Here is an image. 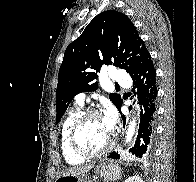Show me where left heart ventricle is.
<instances>
[{
    "mask_svg": "<svg viewBox=\"0 0 196 182\" xmlns=\"http://www.w3.org/2000/svg\"><path fill=\"white\" fill-rule=\"evenodd\" d=\"M111 137L102 117H91L82 126L78 142L88 152L99 151L104 148Z\"/></svg>",
    "mask_w": 196,
    "mask_h": 182,
    "instance_id": "b2bd125f",
    "label": "left heart ventricle"
}]
</instances>
